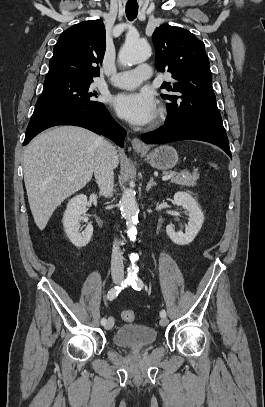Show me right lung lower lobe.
<instances>
[{
	"instance_id": "right-lung-lower-lobe-1",
	"label": "right lung lower lobe",
	"mask_w": 265,
	"mask_h": 407,
	"mask_svg": "<svg viewBox=\"0 0 265 407\" xmlns=\"http://www.w3.org/2000/svg\"><path fill=\"white\" fill-rule=\"evenodd\" d=\"M56 125H75L112 139L123 147L126 131L111 117L105 106L83 107L69 110L29 123L23 145L28 144L41 131Z\"/></svg>"
}]
</instances>
